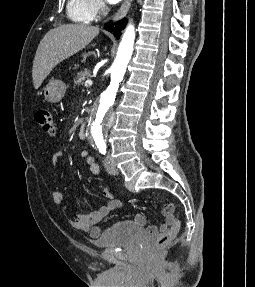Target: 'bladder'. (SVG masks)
I'll use <instances>...</instances> for the list:
<instances>
[{
	"label": "bladder",
	"instance_id": "1",
	"mask_svg": "<svg viewBox=\"0 0 255 287\" xmlns=\"http://www.w3.org/2000/svg\"><path fill=\"white\" fill-rule=\"evenodd\" d=\"M146 228L134 221L124 220L106 229L95 241V246L107 248L134 243L145 235Z\"/></svg>",
	"mask_w": 255,
	"mask_h": 287
}]
</instances>
